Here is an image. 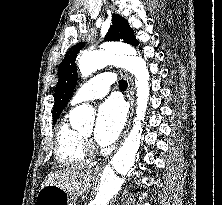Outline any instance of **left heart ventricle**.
<instances>
[{"instance_id":"obj_1","label":"left heart ventricle","mask_w":222,"mask_h":205,"mask_svg":"<svg viewBox=\"0 0 222 205\" xmlns=\"http://www.w3.org/2000/svg\"><path fill=\"white\" fill-rule=\"evenodd\" d=\"M92 130H93V127H90V128H88V129L84 130V131L82 132V134H84V135H86V136H90L91 133H92Z\"/></svg>"}]
</instances>
